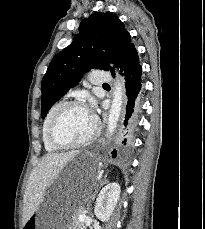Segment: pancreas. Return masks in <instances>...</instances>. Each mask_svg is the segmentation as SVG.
Wrapping results in <instances>:
<instances>
[{"instance_id": "pancreas-1", "label": "pancreas", "mask_w": 205, "mask_h": 229, "mask_svg": "<svg viewBox=\"0 0 205 229\" xmlns=\"http://www.w3.org/2000/svg\"><path fill=\"white\" fill-rule=\"evenodd\" d=\"M80 214H81L80 212H77L73 218V223H72L73 229H85L84 223L78 220Z\"/></svg>"}]
</instances>
